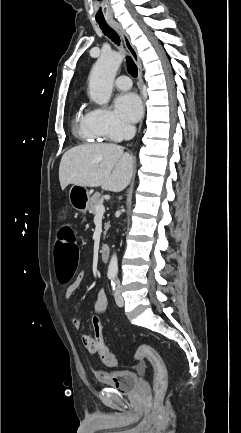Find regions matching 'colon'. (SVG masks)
<instances>
[{"mask_svg":"<svg viewBox=\"0 0 241 433\" xmlns=\"http://www.w3.org/2000/svg\"><path fill=\"white\" fill-rule=\"evenodd\" d=\"M51 249L55 257L57 279L60 283H68L78 267V245L73 225H59L58 230H52ZM102 315L96 312L90 323L94 331V341L87 342L88 349L96 351L102 361L109 367L117 364L115 356L111 353L103 340L100 324ZM135 360L147 358L154 368V393L159 398L167 387V370L161 355L151 346L141 345L134 353Z\"/></svg>","mask_w":241,"mask_h":433,"instance_id":"1","label":"colon"}]
</instances>
